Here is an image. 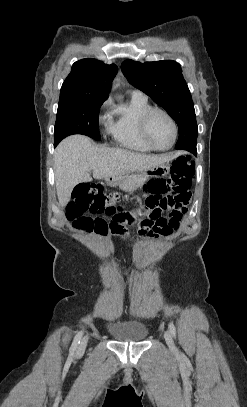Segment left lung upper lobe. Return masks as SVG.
<instances>
[{
	"mask_svg": "<svg viewBox=\"0 0 247 407\" xmlns=\"http://www.w3.org/2000/svg\"><path fill=\"white\" fill-rule=\"evenodd\" d=\"M121 70L129 83L149 95L175 120L179 129L175 148L194 154L198 126L180 65L173 60L140 63L129 59L122 63Z\"/></svg>",
	"mask_w": 247,
	"mask_h": 407,
	"instance_id": "5c2ea615",
	"label": "left lung upper lobe"
}]
</instances>
